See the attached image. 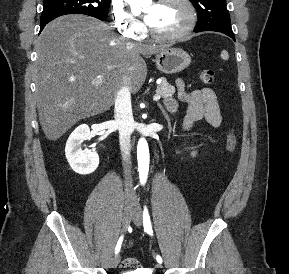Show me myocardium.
Wrapping results in <instances>:
<instances>
[{
	"label": "myocardium",
	"mask_w": 289,
	"mask_h": 274,
	"mask_svg": "<svg viewBox=\"0 0 289 274\" xmlns=\"http://www.w3.org/2000/svg\"><path fill=\"white\" fill-rule=\"evenodd\" d=\"M171 0H158V4L166 3ZM182 3L187 10V21L185 25L177 32L171 34H162L156 32L150 25L147 27V31L151 37L160 41H176L186 37L195 27L197 22L196 7L191 0H177Z\"/></svg>",
	"instance_id": "1"
}]
</instances>
